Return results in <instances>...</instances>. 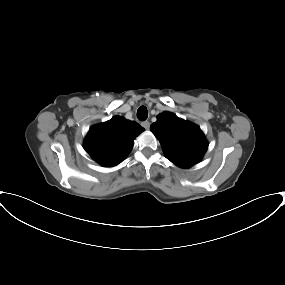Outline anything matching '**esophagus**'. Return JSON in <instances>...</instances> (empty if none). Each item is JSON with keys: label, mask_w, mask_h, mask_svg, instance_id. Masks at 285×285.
<instances>
[{"label": "esophagus", "mask_w": 285, "mask_h": 285, "mask_svg": "<svg viewBox=\"0 0 285 285\" xmlns=\"http://www.w3.org/2000/svg\"><path fill=\"white\" fill-rule=\"evenodd\" d=\"M142 126L148 130L150 127V123L148 121L142 122Z\"/></svg>", "instance_id": "1"}]
</instances>
